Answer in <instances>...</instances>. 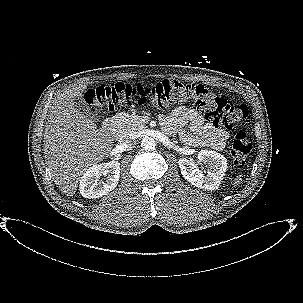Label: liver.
<instances>
[{
	"instance_id": "liver-1",
	"label": "liver",
	"mask_w": 303,
	"mask_h": 303,
	"mask_svg": "<svg viewBox=\"0 0 303 303\" xmlns=\"http://www.w3.org/2000/svg\"><path fill=\"white\" fill-rule=\"evenodd\" d=\"M87 84L59 94L51 106L44 132V158L62 193L73 196L81 176L107 157L113 147L108 129H98L93 120L75 107Z\"/></svg>"
}]
</instances>
